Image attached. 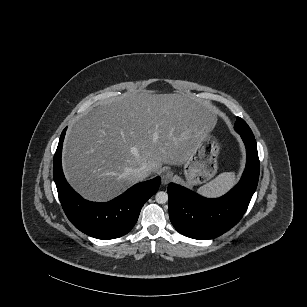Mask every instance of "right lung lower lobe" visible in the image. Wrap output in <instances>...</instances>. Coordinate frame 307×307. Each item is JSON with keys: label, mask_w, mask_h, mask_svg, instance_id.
I'll list each match as a JSON object with an SVG mask.
<instances>
[{"label": "right lung lower lobe", "mask_w": 307, "mask_h": 307, "mask_svg": "<svg viewBox=\"0 0 307 307\" xmlns=\"http://www.w3.org/2000/svg\"><path fill=\"white\" fill-rule=\"evenodd\" d=\"M63 130L54 155L53 176L61 205L72 224L98 239H114L127 234L137 222L144 203L157 192L161 179L138 183L117 198L98 203L83 199L67 183L61 166Z\"/></svg>", "instance_id": "1"}]
</instances>
